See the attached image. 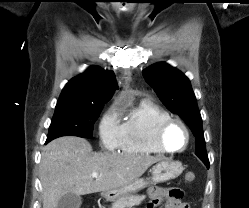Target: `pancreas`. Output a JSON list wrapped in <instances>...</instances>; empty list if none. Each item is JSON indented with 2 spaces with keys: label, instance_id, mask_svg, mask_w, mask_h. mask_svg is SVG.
<instances>
[{
  "label": "pancreas",
  "instance_id": "1",
  "mask_svg": "<svg viewBox=\"0 0 249 208\" xmlns=\"http://www.w3.org/2000/svg\"><path fill=\"white\" fill-rule=\"evenodd\" d=\"M145 199V195H125L112 203L111 208H133Z\"/></svg>",
  "mask_w": 249,
  "mask_h": 208
}]
</instances>
